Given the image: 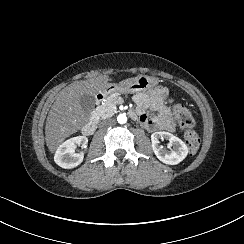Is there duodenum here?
I'll list each match as a JSON object with an SVG mask.
<instances>
[{"mask_svg": "<svg viewBox=\"0 0 244 244\" xmlns=\"http://www.w3.org/2000/svg\"><path fill=\"white\" fill-rule=\"evenodd\" d=\"M105 93L104 92H99L96 96V99L98 102H103L105 99ZM98 125V114L92 115V117L83 125L82 127V133L85 136L91 137L97 128Z\"/></svg>", "mask_w": 244, "mask_h": 244, "instance_id": "410a0bca", "label": "duodenum"}]
</instances>
